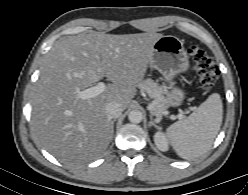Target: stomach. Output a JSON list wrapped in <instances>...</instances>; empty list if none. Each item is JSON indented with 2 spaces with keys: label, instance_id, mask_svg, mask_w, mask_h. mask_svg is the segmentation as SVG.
<instances>
[{
  "label": "stomach",
  "instance_id": "obj_1",
  "mask_svg": "<svg viewBox=\"0 0 248 195\" xmlns=\"http://www.w3.org/2000/svg\"><path fill=\"white\" fill-rule=\"evenodd\" d=\"M149 65L158 70L166 82L167 90L164 92L169 106H180L186 93L176 86L174 78L184 73L189 68V59L182 41L172 35L163 36L153 45L152 56Z\"/></svg>",
  "mask_w": 248,
  "mask_h": 195
}]
</instances>
